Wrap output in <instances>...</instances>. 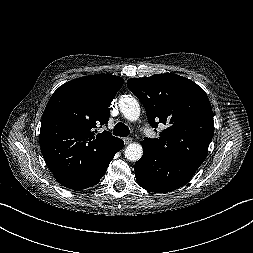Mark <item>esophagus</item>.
<instances>
[{"label":"esophagus","mask_w":253,"mask_h":253,"mask_svg":"<svg viewBox=\"0 0 253 253\" xmlns=\"http://www.w3.org/2000/svg\"><path fill=\"white\" fill-rule=\"evenodd\" d=\"M123 141H124L125 145H128L132 142V138L131 137H126V138L123 139Z\"/></svg>","instance_id":"34e87169"}]
</instances>
